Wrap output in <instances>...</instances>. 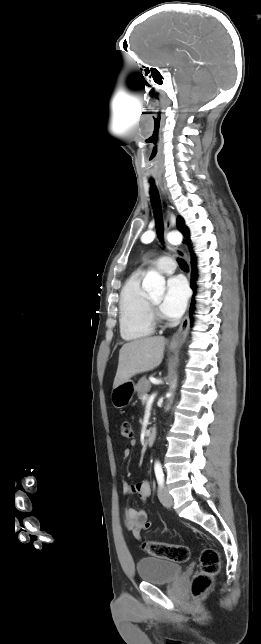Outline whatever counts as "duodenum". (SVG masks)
<instances>
[{
	"instance_id": "duodenum-1",
	"label": "duodenum",
	"mask_w": 261,
	"mask_h": 644,
	"mask_svg": "<svg viewBox=\"0 0 261 644\" xmlns=\"http://www.w3.org/2000/svg\"><path fill=\"white\" fill-rule=\"evenodd\" d=\"M156 435H157V432H156L155 429H151L148 432V434L146 436V443H147L148 446H151V445L154 444V442L156 440Z\"/></svg>"
}]
</instances>
